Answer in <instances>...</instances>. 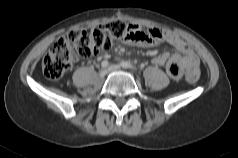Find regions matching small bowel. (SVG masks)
Returning <instances> with one entry per match:
<instances>
[{
  "instance_id": "small-bowel-1",
  "label": "small bowel",
  "mask_w": 238,
  "mask_h": 158,
  "mask_svg": "<svg viewBox=\"0 0 238 158\" xmlns=\"http://www.w3.org/2000/svg\"><path fill=\"white\" fill-rule=\"evenodd\" d=\"M132 35L125 42L129 45L149 48L163 42L172 45L178 53H161L152 59V63L158 66H165L167 73L173 79H179L184 69L199 66V59L191 47L178 35L161 28L149 27L144 29L138 24H131Z\"/></svg>"
}]
</instances>
